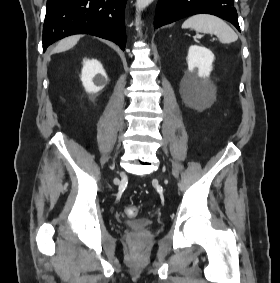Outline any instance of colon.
<instances>
[{"label":"colon","mask_w":280,"mask_h":283,"mask_svg":"<svg viewBox=\"0 0 280 283\" xmlns=\"http://www.w3.org/2000/svg\"><path fill=\"white\" fill-rule=\"evenodd\" d=\"M125 213H126V215H127L128 217L134 218V217H136L137 214H138V209H137L136 207H134V206L127 207V208L125 209Z\"/></svg>","instance_id":"obj_1"}]
</instances>
